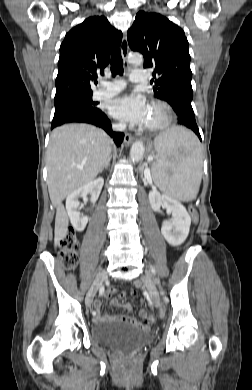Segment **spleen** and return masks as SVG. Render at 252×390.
<instances>
[{
    "mask_svg": "<svg viewBox=\"0 0 252 390\" xmlns=\"http://www.w3.org/2000/svg\"><path fill=\"white\" fill-rule=\"evenodd\" d=\"M159 159L151 171L155 185L167 196L189 202L196 198L202 179V152L197 137L174 127L154 141ZM173 155L170 161L167 159Z\"/></svg>",
    "mask_w": 252,
    "mask_h": 390,
    "instance_id": "spleen-1",
    "label": "spleen"
}]
</instances>
